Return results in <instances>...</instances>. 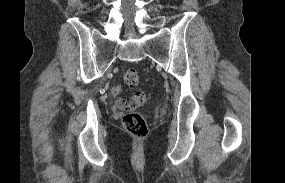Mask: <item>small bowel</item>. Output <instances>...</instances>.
<instances>
[{
  "label": "small bowel",
  "mask_w": 285,
  "mask_h": 183,
  "mask_svg": "<svg viewBox=\"0 0 285 183\" xmlns=\"http://www.w3.org/2000/svg\"><path fill=\"white\" fill-rule=\"evenodd\" d=\"M111 93L112 95L116 98L117 100V104L121 107V108H127L128 103L126 100H124L123 98L120 97L121 93H122V87L119 84L113 85L111 88Z\"/></svg>",
  "instance_id": "small-bowel-1"
}]
</instances>
